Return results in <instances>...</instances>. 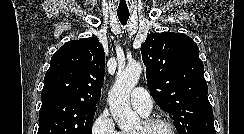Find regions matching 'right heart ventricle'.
<instances>
[{"label":"right heart ventricle","mask_w":244,"mask_h":134,"mask_svg":"<svg viewBox=\"0 0 244 134\" xmlns=\"http://www.w3.org/2000/svg\"><path fill=\"white\" fill-rule=\"evenodd\" d=\"M121 134H129V133H126V132H121Z\"/></svg>","instance_id":"obj_1"}]
</instances>
